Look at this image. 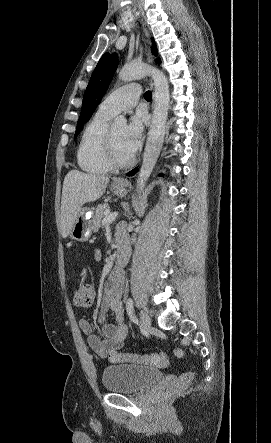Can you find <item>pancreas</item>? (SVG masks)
<instances>
[{
    "label": "pancreas",
    "mask_w": 271,
    "mask_h": 443,
    "mask_svg": "<svg viewBox=\"0 0 271 443\" xmlns=\"http://www.w3.org/2000/svg\"><path fill=\"white\" fill-rule=\"evenodd\" d=\"M106 210H108V204H104V206H98L94 212L92 229L93 231H98V227H100L102 220L106 218Z\"/></svg>",
    "instance_id": "1"
}]
</instances>
